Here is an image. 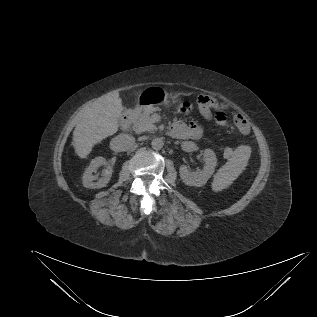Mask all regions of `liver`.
Here are the masks:
<instances>
[{"label": "liver", "mask_w": 317, "mask_h": 317, "mask_svg": "<svg viewBox=\"0 0 317 317\" xmlns=\"http://www.w3.org/2000/svg\"><path fill=\"white\" fill-rule=\"evenodd\" d=\"M123 111L118 91L109 92L85 107L73 131L72 145L80 158H86L92 148L118 131V118Z\"/></svg>", "instance_id": "1"}]
</instances>
